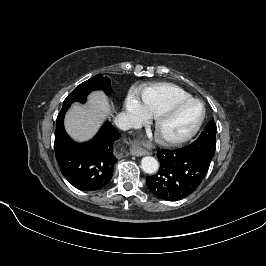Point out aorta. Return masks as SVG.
<instances>
[{"mask_svg":"<svg viewBox=\"0 0 266 266\" xmlns=\"http://www.w3.org/2000/svg\"><path fill=\"white\" fill-rule=\"evenodd\" d=\"M141 168L144 172L148 174H153L158 170L159 164L154 157L146 156L141 160Z\"/></svg>","mask_w":266,"mask_h":266,"instance_id":"762f6f07","label":"aorta"}]
</instances>
